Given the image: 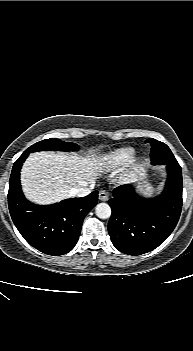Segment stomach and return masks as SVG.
Listing matches in <instances>:
<instances>
[{
    "label": "stomach",
    "mask_w": 193,
    "mask_h": 351,
    "mask_svg": "<svg viewBox=\"0 0 193 351\" xmlns=\"http://www.w3.org/2000/svg\"><path fill=\"white\" fill-rule=\"evenodd\" d=\"M142 177L145 178V176H142ZM140 191L144 195L150 196L153 192V187L147 181H143L140 185Z\"/></svg>",
    "instance_id": "0dacf381"
}]
</instances>
